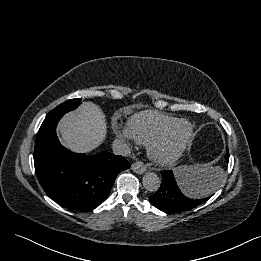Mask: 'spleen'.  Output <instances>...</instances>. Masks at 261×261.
I'll return each mask as SVG.
<instances>
[{
    "label": "spleen",
    "instance_id": "obj_1",
    "mask_svg": "<svg viewBox=\"0 0 261 261\" xmlns=\"http://www.w3.org/2000/svg\"><path fill=\"white\" fill-rule=\"evenodd\" d=\"M187 171L190 174V178L199 184L197 195H193V197L196 198L197 196H208L217 188L219 183V176L208 166L189 167ZM209 184L211 187H209Z\"/></svg>",
    "mask_w": 261,
    "mask_h": 261
}]
</instances>
